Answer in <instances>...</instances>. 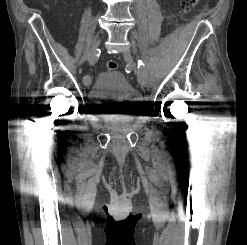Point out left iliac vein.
<instances>
[{"label":"left iliac vein","mask_w":247,"mask_h":245,"mask_svg":"<svg viewBox=\"0 0 247 245\" xmlns=\"http://www.w3.org/2000/svg\"><path fill=\"white\" fill-rule=\"evenodd\" d=\"M135 39V38H134ZM132 39V40H134ZM133 48H137V45H132ZM123 56L124 58L126 59V61L128 62V64L132 67V69L135 71V73L137 74L138 76V81L140 83L141 86H144V87H147L150 83V79H149V76L148 74L145 72L143 75H141L136 67V64L133 60V55L131 53L130 50L128 49H125L123 51Z\"/></svg>","instance_id":"4c4485c4"}]
</instances>
